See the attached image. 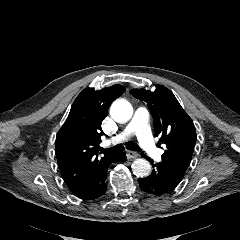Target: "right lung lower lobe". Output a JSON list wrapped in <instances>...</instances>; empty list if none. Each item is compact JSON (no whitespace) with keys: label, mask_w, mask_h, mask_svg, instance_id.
Here are the masks:
<instances>
[{"label":"right lung lower lobe","mask_w":240,"mask_h":240,"mask_svg":"<svg viewBox=\"0 0 240 240\" xmlns=\"http://www.w3.org/2000/svg\"><path fill=\"white\" fill-rule=\"evenodd\" d=\"M126 155L118 153L110 156L98 170L90 175L77 189L71 191L75 196L84 200H93L101 197L107 189V170L110 164L125 161Z\"/></svg>","instance_id":"right-lung-lower-lobe-1"}]
</instances>
